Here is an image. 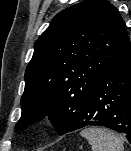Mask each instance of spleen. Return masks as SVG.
Instances as JSON below:
<instances>
[{
	"label": "spleen",
	"mask_w": 131,
	"mask_h": 151,
	"mask_svg": "<svg viewBox=\"0 0 131 151\" xmlns=\"http://www.w3.org/2000/svg\"><path fill=\"white\" fill-rule=\"evenodd\" d=\"M80 135L88 140L92 151H124L122 140L104 128H87Z\"/></svg>",
	"instance_id": "spleen-1"
}]
</instances>
